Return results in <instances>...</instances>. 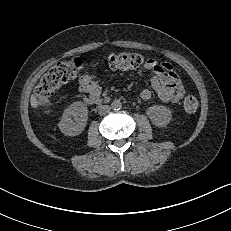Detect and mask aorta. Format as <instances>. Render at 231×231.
<instances>
[{"instance_id": "762f6f07", "label": "aorta", "mask_w": 231, "mask_h": 231, "mask_svg": "<svg viewBox=\"0 0 231 231\" xmlns=\"http://www.w3.org/2000/svg\"><path fill=\"white\" fill-rule=\"evenodd\" d=\"M111 107L114 109V110H119L121 109L122 107V103L120 100H114L111 104Z\"/></svg>"}]
</instances>
